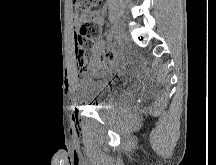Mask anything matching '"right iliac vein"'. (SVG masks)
Returning a JSON list of instances; mask_svg holds the SVG:
<instances>
[{"label":"right iliac vein","instance_id":"1","mask_svg":"<svg viewBox=\"0 0 216 165\" xmlns=\"http://www.w3.org/2000/svg\"><path fill=\"white\" fill-rule=\"evenodd\" d=\"M114 32H115V39L118 42H121L125 38V31L121 23L116 24Z\"/></svg>","mask_w":216,"mask_h":165}]
</instances>
